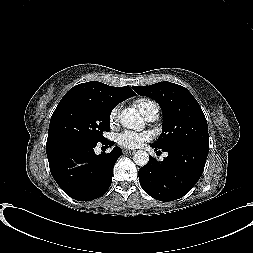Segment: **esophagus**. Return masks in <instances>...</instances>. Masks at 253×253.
Listing matches in <instances>:
<instances>
[{"label": "esophagus", "mask_w": 253, "mask_h": 253, "mask_svg": "<svg viewBox=\"0 0 253 253\" xmlns=\"http://www.w3.org/2000/svg\"><path fill=\"white\" fill-rule=\"evenodd\" d=\"M123 153L124 154H134L135 150H127V149H125V150H123Z\"/></svg>", "instance_id": "obj_1"}]
</instances>
